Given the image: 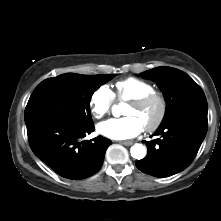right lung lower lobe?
<instances>
[{"label": "right lung lower lobe", "mask_w": 221, "mask_h": 221, "mask_svg": "<svg viewBox=\"0 0 221 221\" xmlns=\"http://www.w3.org/2000/svg\"><path fill=\"white\" fill-rule=\"evenodd\" d=\"M33 153L58 175L80 180L94 175L103 164L111 140L98 136L82 140L94 124L80 127L56 116H39L26 123Z\"/></svg>", "instance_id": "98d812e1"}]
</instances>
